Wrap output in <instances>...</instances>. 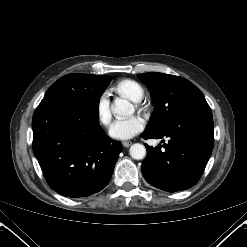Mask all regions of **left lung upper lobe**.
Returning <instances> with one entry per match:
<instances>
[{
  "label": "left lung upper lobe",
  "mask_w": 247,
  "mask_h": 247,
  "mask_svg": "<svg viewBox=\"0 0 247 247\" xmlns=\"http://www.w3.org/2000/svg\"><path fill=\"white\" fill-rule=\"evenodd\" d=\"M138 77L156 102L145 130L161 131L193 113L211 111L202 92L185 78L163 73H144Z\"/></svg>",
  "instance_id": "5c2ea615"
}]
</instances>
